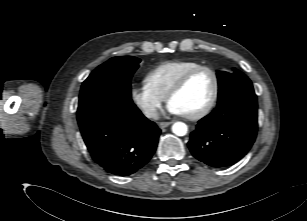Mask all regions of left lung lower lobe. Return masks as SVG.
Returning <instances> with one entry per match:
<instances>
[{
    "label": "left lung lower lobe",
    "mask_w": 307,
    "mask_h": 221,
    "mask_svg": "<svg viewBox=\"0 0 307 221\" xmlns=\"http://www.w3.org/2000/svg\"><path fill=\"white\" fill-rule=\"evenodd\" d=\"M256 134V95H241L217 105L201 119L188 146L199 161L211 167H229L248 153Z\"/></svg>",
    "instance_id": "obj_1"
}]
</instances>
